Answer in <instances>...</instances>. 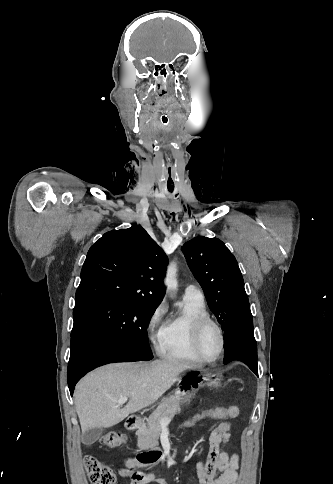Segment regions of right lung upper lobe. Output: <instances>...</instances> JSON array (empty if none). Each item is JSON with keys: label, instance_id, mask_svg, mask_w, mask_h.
I'll return each mask as SVG.
<instances>
[{"label": "right lung upper lobe", "instance_id": "obj_1", "mask_svg": "<svg viewBox=\"0 0 333 484\" xmlns=\"http://www.w3.org/2000/svg\"><path fill=\"white\" fill-rule=\"evenodd\" d=\"M168 259L140 226L105 233L87 253L75 304L117 299L159 305Z\"/></svg>", "mask_w": 333, "mask_h": 484}]
</instances>
